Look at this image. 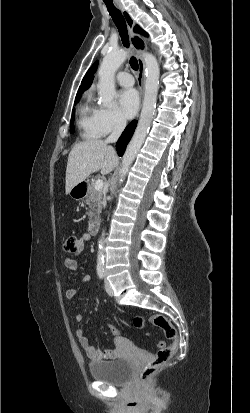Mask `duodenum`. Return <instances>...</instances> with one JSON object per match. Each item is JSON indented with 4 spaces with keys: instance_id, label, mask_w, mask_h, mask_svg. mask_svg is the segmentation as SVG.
I'll use <instances>...</instances> for the list:
<instances>
[{
    "instance_id": "1",
    "label": "duodenum",
    "mask_w": 250,
    "mask_h": 413,
    "mask_svg": "<svg viewBox=\"0 0 250 413\" xmlns=\"http://www.w3.org/2000/svg\"><path fill=\"white\" fill-rule=\"evenodd\" d=\"M100 222L93 221L89 226V232L91 235H96L99 232Z\"/></svg>"
}]
</instances>
